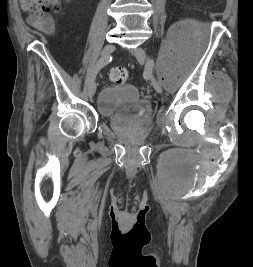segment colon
<instances>
[{"label":"colon","mask_w":253,"mask_h":267,"mask_svg":"<svg viewBox=\"0 0 253 267\" xmlns=\"http://www.w3.org/2000/svg\"><path fill=\"white\" fill-rule=\"evenodd\" d=\"M20 2L25 11L38 16L57 12L61 4V0H20ZM109 78L116 84H124L128 79V72L123 67H114L109 72Z\"/></svg>","instance_id":"obj_1"}]
</instances>
